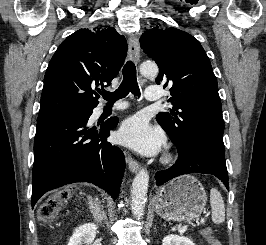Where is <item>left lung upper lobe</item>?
I'll use <instances>...</instances> for the list:
<instances>
[{
    "instance_id": "5c2ea615",
    "label": "left lung upper lobe",
    "mask_w": 266,
    "mask_h": 245,
    "mask_svg": "<svg viewBox=\"0 0 266 245\" xmlns=\"http://www.w3.org/2000/svg\"><path fill=\"white\" fill-rule=\"evenodd\" d=\"M140 45L159 66L156 83L172 86L173 108L156 119L177 149H183L195 133L223 137L217 79L199 41L173 27L155 28L142 34Z\"/></svg>"
}]
</instances>
